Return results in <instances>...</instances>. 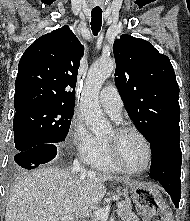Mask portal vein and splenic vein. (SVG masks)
Masks as SVG:
<instances>
[{
	"instance_id": "obj_1",
	"label": "portal vein and splenic vein",
	"mask_w": 190,
	"mask_h": 221,
	"mask_svg": "<svg viewBox=\"0 0 190 221\" xmlns=\"http://www.w3.org/2000/svg\"><path fill=\"white\" fill-rule=\"evenodd\" d=\"M117 206L121 207L123 206V204L121 202H118ZM109 212H110V207L106 206L104 208L93 211V215L96 217H100L103 221H107ZM71 219H72V216H64L61 218L60 221H69Z\"/></svg>"
}]
</instances>
